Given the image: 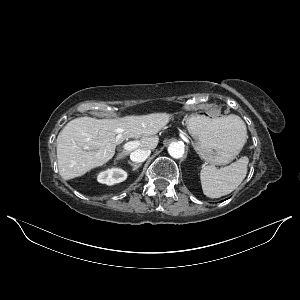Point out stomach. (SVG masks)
I'll return each instance as SVG.
<instances>
[{"mask_svg":"<svg viewBox=\"0 0 300 300\" xmlns=\"http://www.w3.org/2000/svg\"><path fill=\"white\" fill-rule=\"evenodd\" d=\"M189 133L196 140L195 149L212 165L230 163L244 146L243 133L227 117L192 114L187 119Z\"/></svg>","mask_w":300,"mask_h":300,"instance_id":"obj_1","label":"stomach"}]
</instances>
